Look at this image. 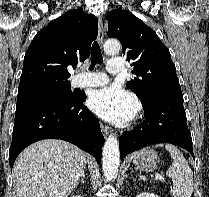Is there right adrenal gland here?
I'll list each match as a JSON object with an SVG mask.
<instances>
[{
  "label": "right adrenal gland",
  "instance_id": "right-adrenal-gland-1",
  "mask_svg": "<svg viewBox=\"0 0 209 197\" xmlns=\"http://www.w3.org/2000/svg\"><path fill=\"white\" fill-rule=\"evenodd\" d=\"M84 179H85V171H83L81 174V183H84Z\"/></svg>",
  "mask_w": 209,
  "mask_h": 197
}]
</instances>
